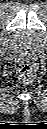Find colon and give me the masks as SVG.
Here are the masks:
<instances>
[{"label": "colon", "mask_w": 47, "mask_h": 129, "mask_svg": "<svg viewBox=\"0 0 47 129\" xmlns=\"http://www.w3.org/2000/svg\"><path fill=\"white\" fill-rule=\"evenodd\" d=\"M18 71L20 74V78L24 82H28L32 80L35 75V66L30 61H22L18 65Z\"/></svg>", "instance_id": "1"}]
</instances>
